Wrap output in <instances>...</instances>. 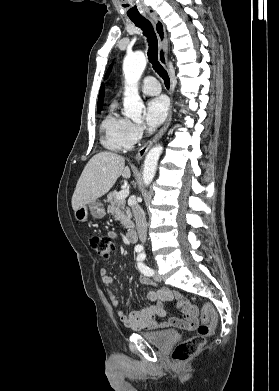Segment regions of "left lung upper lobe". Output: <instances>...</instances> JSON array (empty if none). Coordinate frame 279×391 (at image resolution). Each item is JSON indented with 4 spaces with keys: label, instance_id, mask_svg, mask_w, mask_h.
<instances>
[{
    "label": "left lung upper lobe",
    "instance_id": "1",
    "mask_svg": "<svg viewBox=\"0 0 279 391\" xmlns=\"http://www.w3.org/2000/svg\"><path fill=\"white\" fill-rule=\"evenodd\" d=\"M111 68H112V65L110 66V68H109V70H108V72H107V74H106V76H105V77H107V76H108L109 72L111 71Z\"/></svg>",
    "mask_w": 279,
    "mask_h": 391
}]
</instances>
